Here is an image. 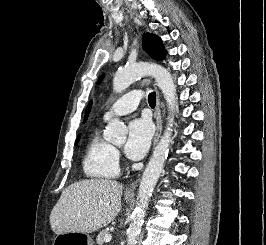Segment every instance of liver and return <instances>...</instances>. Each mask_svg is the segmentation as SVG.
<instances>
[{"instance_id": "obj_1", "label": "liver", "mask_w": 266, "mask_h": 245, "mask_svg": "<svg viewBox=\"0 0 266 245\" xmlns=\"http://www.w3.org/2000/svg\"><path fill=\"white\" fill-rule=\"evenodd\" d=\"M123 187L116 181L89 179L64 189L50 215L55 235L94 233L107 227L121 211Z\"/></svg>"}]
</instances>
